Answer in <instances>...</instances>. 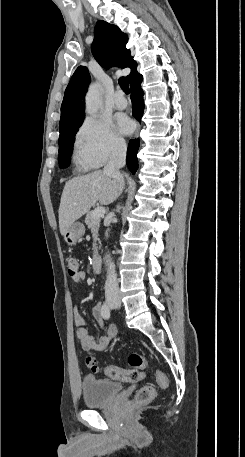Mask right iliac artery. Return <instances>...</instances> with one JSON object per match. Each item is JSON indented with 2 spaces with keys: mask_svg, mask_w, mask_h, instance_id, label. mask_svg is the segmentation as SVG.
I'll return each mask as SVG.
<instances>
[{
  "mask_svg": "<svg viewBox=\"0 0 245 457\" xmlns=\"http://www.w3.org/2000/svg\"><path fill=\"white\" fill-rule=\"evenodd\" d=\"M101 314L103 318L109 319L110 318V306L107 302H104L102 309H101Z\"/></svg>",
  "mask_w": 245,
  "mask_h": 457,
  "instance_id": "obj_1",
  "label": "right iliac artery"
}]
</instances>
